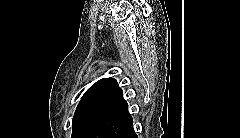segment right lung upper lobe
<instances>
[{
  "instance_id": "cb5924a9",
  "label": "right lung upper lobe",
  "mask_w": 240,
  "mask_h": 138,
  "mask_svg": "<svg viewBox=\"0 0 240 138\" xmlns=\"http://www.w3.org/2000/svg\"><path fill=\"white\" fill-rule=\"evenodd\" d=\"M127 106L122 90L113 78H104L92 85L83 95L75 115L106 114L111 115Z\"/></svg>"
}]
</instances>
